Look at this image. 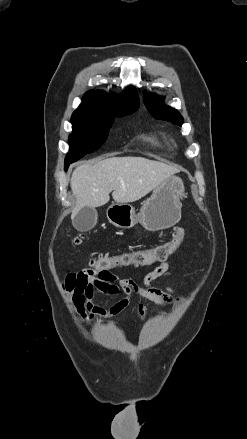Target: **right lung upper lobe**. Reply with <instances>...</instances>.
<instances>
[{
  "label": "right lung upper lobe",
  "instance_id": "1",
  "mask_svg": "<svg viewBox=\"0 0 247 439\" xmlns=\"http://www.w3.org/2000/svg\"><path fill=\"white\" fill-rule=\"evenodd\" d=\"M139 98L135 87H129L124 96L107 97L102 91H89L73 115L107 116L138 109Z\"/></svg>",
  "mask_w": 247,
  "mask_h": 439
}]
</instances>
